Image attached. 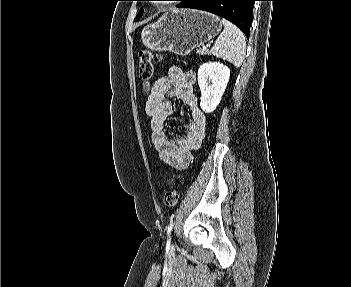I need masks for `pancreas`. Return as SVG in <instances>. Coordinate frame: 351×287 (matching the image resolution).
<instances>
[{"label": "pancreas", "mask_w": 351, "mask_h": 287, "mask_svg": "<svg viewBox=\"0 0 351 287\" xmlns=\"http://www.w3.org/2000/svg\"><path fill=\"white\" fill-rule=\"evenodd\" d=\"M197 53L199 55H207V54H209V51L207 49H199V50H197Z\"/></svg>", "instance_id": "obj_1"}]
</instances>
